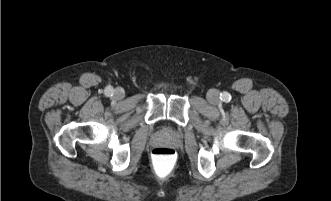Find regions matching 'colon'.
Returning a JSON list of instances; mask_svg holds the SVG:
<instances>
[{"instance_id":"5ec220e1","label":"colon","mask_w":331,"mask_h":201,"mask_svg":"<svg viewBox=\"0 0 331 201\" xmlns=\"http://www.w3.org/2000/svg\"><path fill=\"white\" fill-rule=\"evenodd\" d=\"M177 162V152L171 147L159 146L151 152L153 170L160 178L170 176L175 171Z\"/></svg>"}]
</instances>
